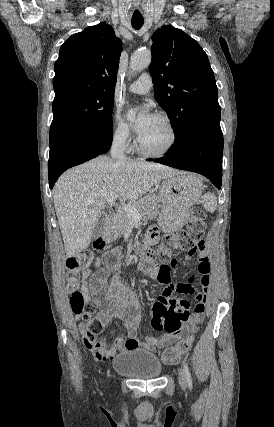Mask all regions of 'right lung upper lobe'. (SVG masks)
Instances as JSON below:
<instances>
[{"mask_svg":"<svg viewBox=\"0 0 274 427\" xmlns=\"http://www.w3.org/2000/svg\"><path fill=\"white\" fill-rule=\"evenodd\" d=\"M122 42L104 22L72 35L55 62L53 102L66 95H114Z\"/></svg>","mask_w":274,"mask_h":427,"instance_id":"1","label":"right lung upper lobe"}]
</instances>
